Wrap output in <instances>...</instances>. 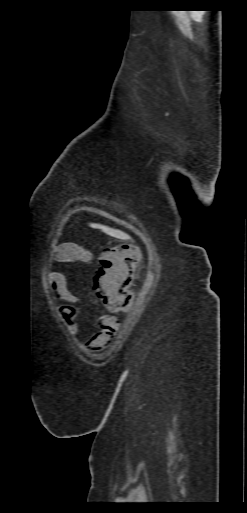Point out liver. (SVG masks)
<instances>
[{
  "mask_svg": "<svg viewBox=\"0 0 247 513\" xmlns=\"http://www.w3.org/2000/svg\"><path fill=\"white\" fill-rule=\"evenodd\" d=\"M89 225L92 228L100 229L102 232H104L110 236L116 237V238H127L128 237L127 234H125L124 232L117 230V229L110 228V227L102 225V224L90 223Z\"/></svg>",
  "mask_w": 247,
  "mask_h": 513,
  "instance_id": "obj_1",
  "label": "liver"
}]
</instances>
